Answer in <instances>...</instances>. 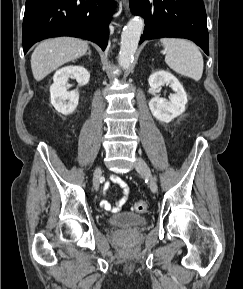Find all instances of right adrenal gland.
I'll use <instances>...</instances> for the list:
<instances>
[{"label": "right adrenal gland", "mask_w": 243, "mask_h": 289, "mask_svg": "<svg viewBox=\"0 0 243 289\" xmlns=\"http://www.w3.org/2000/svg\"><path fill=\"white\" fill-rule=\"evenodd\" d=\"M87 55L90 57L91 56V50L89 49Z\"/></svg>", "instance_id": "1"}]
</instances>
